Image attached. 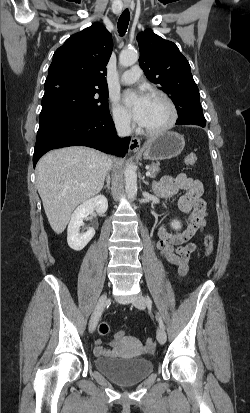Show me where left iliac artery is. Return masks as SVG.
Masks as SVG:
<instances>
[{"mask_svg":"<svg viewBox=\"0 0 250 413\" xmlns=\"http://www.w3.org/2000/svg\"><path fill=\"white\" fill-rule=\"evenodd\" d=\"M146 299H147V302H148L149 304L152 303L151 299H150L148 296H147ZM158 320H159L160 327L164 329L163 321H162V319H161V317H160L159 315H158Z\"/></svg>","mask_w":250,"mask_h":413,"instance_id":"left-iliac-artery-1","label":"left iliac artery"}]
</instances>
